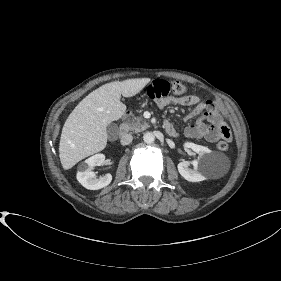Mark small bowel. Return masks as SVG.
<instances>
[{
  "label": "small bowel",
  "instance_id": "1",
  "mask_svg": "<svg viewBox=\"0 0 281 281\" xmlns=\"http://www.w3.org/2000/svg\"><path fill=\"white\" fill-rule=\"evenodd\" d=\"M169 104L193 107L192 111L187 115V119L198 117V120L196 124L185 127L183 133L188 138L205 139L208 142L214 143L220 138H224L225 130L229 131L212 100L201 101L200 98L195 95L156 99V105L160 109L165 108ZM164 128L172 137L179 135L178 131L169 121L164 122Z\"/></svg>",
  "mask_w": 281,
  "mask_h": 281
}]
</instances>
